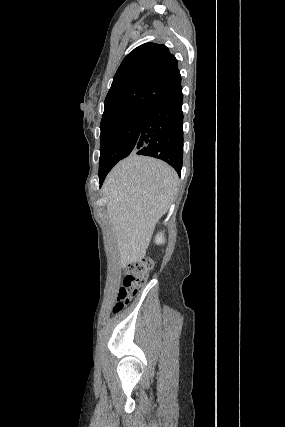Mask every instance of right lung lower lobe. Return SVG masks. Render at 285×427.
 <instances>
[{
  "label": "right lung lower lobe",
  "mask_w": 285,
  "mask_h": 427,
  "mask_svg": "<svg viewBox=\"0 0 285 427\" xmlns=\"http://www.w3.org/2000/svg\"><path fill=\"white\" fill-rule=\"evenodd\" d=\"M182 88L151 104L134 152L170 164L180 175L183 162ZM109 172V171H108ZM107 171L99 173L100 186Z\"/></svg>",
  "instance_id": "1"
}]
</instances>
